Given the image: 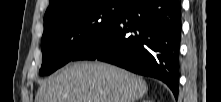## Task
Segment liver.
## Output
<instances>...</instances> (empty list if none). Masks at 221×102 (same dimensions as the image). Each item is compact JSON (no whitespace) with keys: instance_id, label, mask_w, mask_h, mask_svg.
Masks as SVG:
<instances>
[{"instance_id":"1","label":"liver","mask_w":221,"mask_h":102,"mask_svg":"<svg viewBox=\"0 0 221 102\" xmlns=\"http://www.w3.org/2000/svg\"><path fill=\"white\" fill-rule=\"evenodd\" d=\"M148 92L139 76L101 62L68 65L43 82L35 102H135Z\"/></svg>"}]
</instances>
